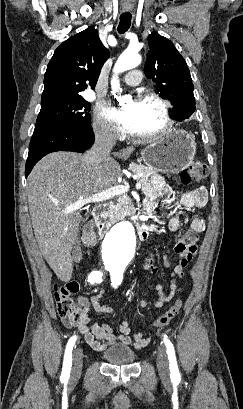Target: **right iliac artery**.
<instances>
[{"label": "right iliac artery", "instance_id": "obj_1", "mask_svg": "<svg viewBox=\"0 0 243 409\" xmlns=\"http://www.w3.org/2000/svg\"><path fill=\"white\" fill-rule=\"evenodd\" d=\"M103 273L101 271H93L88 276V281L91 284L100 283L102 282ZM76 342V336H72L66 346L65 355H64V362H63V370L61 374V379L63 381H67L70 376V369L72 363V349Z\"/></svg>", "mask_w": 243, "mask_h": 409}]
</instances>
